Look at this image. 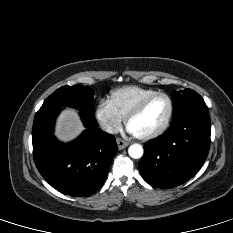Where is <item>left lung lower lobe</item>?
I'll return each mask as SVG.
<instances>
[{"instance_id": "0a47b994", "label": "left lung lower lobe", "mask_w": 233, "mask_h": 233, "mask_svg": "<svg viewBox=\"0 0 233 233\" xmlns=\"http://www.w3.org/2000/svg\"><path fill=\"white\" fill-rule=\"evenodd\" d=\"M208 111H193L172 120L170 129L147 142L139 169L144 180L159 188H173L192 178L210 147Z\"/></svg>"}]
</instances>
